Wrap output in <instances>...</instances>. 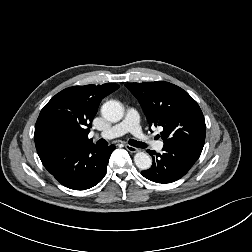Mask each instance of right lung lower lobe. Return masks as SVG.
Instances as JSON below:
<instances>
[{
	"label": "right lung lower lobe",
	"mask_w": 252,
	"mask_h": 252,
	"mask_svg": "<svg viewBox=\"0 0 252 252\" xmlns=\"http://www.w3.org/2000/svg\"><path fill=\"white\" fill-rule=\"evenodd\" d=\"M114 149V145L97 147L94 144L67 143L58 145L39 157L44 167L62 185L74 190H85L103 179Z\"/></svg>",
	"instance_id": "obj_1"
}]
</instances>
